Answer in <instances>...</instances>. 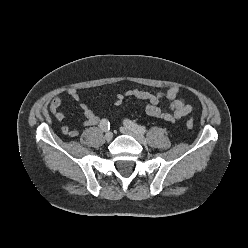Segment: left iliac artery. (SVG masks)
<instances>
[{
    "label": "left iliac artery",
    "instance_id": "44dca946",
    "mask_svg": "<svg viewBox=\"0 0 248 248\" xmlns=\"http://www.w3.org/2000/svg\"><path fill=\"white\" fill-rule=\"evenodd\" d=\"M124 124L127 126V127H129L130 129H132L133 131H135V132H137V133H140V134H144V133H146V127H144V126H141V125H138V124H136V123H134V122H132L131 120H128V119H126L125 121H124Z\"/></svg>",
    "mask_w": 248,
    "mask_h": 248
}]
</instances>
